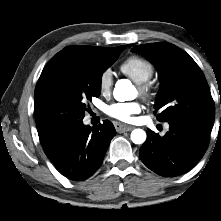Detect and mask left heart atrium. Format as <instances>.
I'll return each instance as SVG.
<instances>
[{"label":"left heart atrium","mask_w":221,"mask_h":221,"mask_svg":"<svg viewBox=\"0 0 221 221\" xmlns=\"http://www.w3.org/2000/svg\"><path fill=\"white\" fill-rule=\"evenodd\" d=\"M141 106L137 102H120L108 106L106 113L120 121L130 122L133 116L140 113Z\"/></svg>","instance_id":"obj_1"}]
</instances>
